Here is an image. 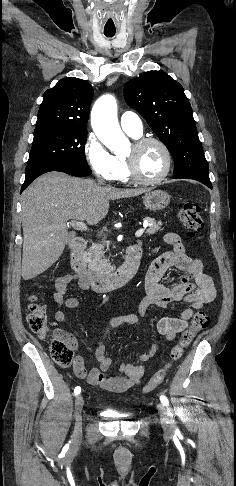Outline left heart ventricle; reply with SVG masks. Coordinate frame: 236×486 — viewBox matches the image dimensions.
Segmentation results:
<instances>
[{
	"instance_id": "left-heart-ventricle-1",
	"label": "left heart ventricle",
	"mask_w": 236,
	"mask_h": 486,
	"mask_svg": "<svg viewBox=\"0 0 236 486\" xmlns=\"http://www.w3.org/2000/svg\"><path fill=\"white\" fill-rule=\"evenodd\" d=\"M126 156L135 158L139 174L146 179L158 177L165 167L164 154L161 148L154 143L147 144L138 150L131 146Z\"/></svg>"
}]
</instances>
